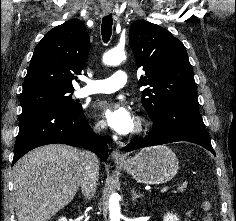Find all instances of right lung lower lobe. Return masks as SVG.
<instances>
[{
	"label": "right lung lower lobe",
	"mask_w": 236,
	"mask_h": 221,
	"mask_svg": "<svg viewBox=\"0 0 236 221\" xmlns=\"http://www.w3.org/2000/svg\"><path fill=\"white\" fill-rule=\"evenodd\" d=\"M84 146L107 160L105 140L94 134L82 108L77 111L39 106L22 111L12 165L30 150L47 144Z\"/></svg>",
	"instance_id": "obj_1"
}]
</instances>
